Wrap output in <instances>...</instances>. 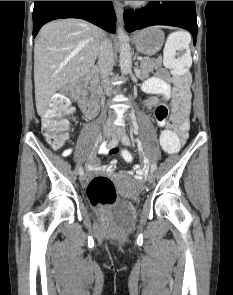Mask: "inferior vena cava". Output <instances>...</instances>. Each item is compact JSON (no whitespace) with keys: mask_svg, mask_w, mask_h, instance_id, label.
I'll list each match as a JSON object with an SVG mask.
<instances>
[{"mask_svg":"<svg viewBox=\"0 0 233 295\" xmlns=\"http://www.w3.org/2000/svg\"><path fill=\"white\" fill-rule=\"evenodd\" d=\"M97 64L100 71L101 83L104 91L108 96H111L112 86L109 80V76L114 66V54L112 43L106 37L103 38L100 44Z\"/></svg>","mask_w":233,"mask_h":295,"instance_id":"obj_1","label":"inferior vena cava"}]
</instances>
